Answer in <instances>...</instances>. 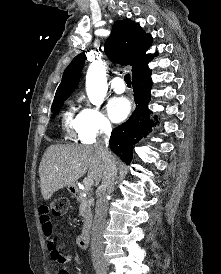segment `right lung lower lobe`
Returning <instances> with one entry per match:
<instances>
[{
    "mask_svg": "<svg viewBox=\"0 0 221 274\" xmlns=\"http://www.w3.org/2000/svg\"><path fill=\"white\" fill-rule=\"evenodd\" d=\"M151 73L152 71L149 70L132 78L136 109L128 121L116 127L111 133V150L127 164L132 160L133 146L142 136L147 135L149 129L152 127L150 111L147 108L151 98Z\"/></svg>",
    "mask_w": 221,
    "mask_h": 274,
    "instance_id": "1",
    "label": "right lung lower lobe"
}]
</instances>
